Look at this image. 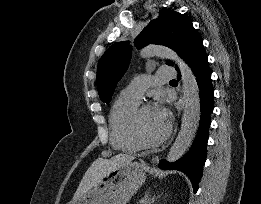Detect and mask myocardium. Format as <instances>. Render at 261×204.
I'll return each instance as SVG.
<instances>
[{"mask_svg":"<svg viewBox=\"0 0 261 204\" xmlns=\"http://www.w3.org/2000/svg\"><path fill=\"white\" fill-rule=\"evenodd\" d=\"M154 107V105L152 103H142L140 104L135 111L133 112L131 119H130V132L132 137L134 138V140L139 144L140 147L142 148H155L158 147L160 145H162L163 143H165L171 133H172V125L170 123V121L167 123V129L165 131V133L158 139L156 140H148L142 133L141 130V117L143 112L148 109Z\"/></svg>","mask_w":261,"mask_h":204,"instance_id":"obj_1","label":"myocardium"}]
</instances>
